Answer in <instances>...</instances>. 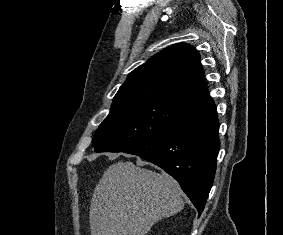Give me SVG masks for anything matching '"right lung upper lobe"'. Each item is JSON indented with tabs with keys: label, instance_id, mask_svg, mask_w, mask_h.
I'll list each match as a JSON object with an SVG mask.
<instances>
[{
	"label": "right lung upper lobe",
	"instance_id": "cb5924a9",
	"mask_svg": "<svg viewBox=\"0 0 283 235\" xmlns=\"http://www.w3.org/2000/svg\"><path fill=\"white\" fill-rule=\"evenodd\" d=\"M209 94L198 51L191 45L170 46L133 70L113 99H164L184 104Z\"/></svg>",
	"mask_w": 283,
	"mask_h": 235
}]
</instances>
